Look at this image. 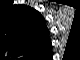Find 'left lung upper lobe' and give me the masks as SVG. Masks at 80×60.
Masks as SVG:
<instances>
[{
	"label": "left lung upper lobe",
	"instance_id": "5c2ea615",
	"mask_svg": "<svg viewBox=\"0 0 80 60\" xmlns=\"http://www.w3.org/2000/svg\"><path fill=\"white\" fill-rule=\"evenodd\" d=\"M24 14H27L26 15V20L29 18L28 17V11L26 9H24ZM38 33H35L33 34L32 36L29 37V34L28 32H26L24 35H23V32L21 33V36H19V43L21 44L22 43V46L23 48H26V47H32L35 45L36 41L38 40Z\"/></svg>",
	"mask_w": 80,
	"mask_h": 60
}]
</instances>
